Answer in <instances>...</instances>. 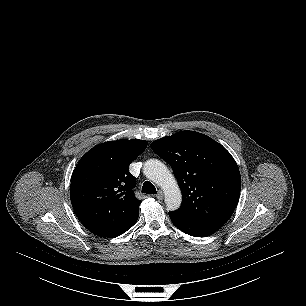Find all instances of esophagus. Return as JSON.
I'll use <instances>...</instances> for the list:
<instances>
[{"mask_svg": "<svg viewBox=\"0 0 306 306\" xmlns=\"http://www.w3.org/2000/svg\"><path fill=\"white\" fill-rule=\"evenodd\" d=\"M163 197H164L163 192H162L161 190H159V191L157 192V194H156V198H157L158 200H162Z\"/></svg>", "mask_w": 306, "mask_h": 306, "instance_id": "34e87169", "label": "esophagus"}]
</instances>
